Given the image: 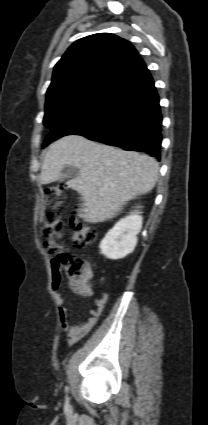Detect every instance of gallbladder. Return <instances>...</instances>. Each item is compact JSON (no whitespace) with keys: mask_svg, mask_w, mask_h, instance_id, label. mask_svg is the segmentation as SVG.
<instances>
[{"mask_svg":"<svg viewBox=\"0 0 208 425\" xmlns=\"http://www.w3.org/2000/svg\"><path fill=\"white\" fill-rule=\"evenodd\" d=\"M79 173V170L76 167L73 166H66L62 170V177L59 179V181H64L67 178H72L77 176Z\"/></svg>","mask_w":208,"mask_h":425,"instance_id":"1","label":"gallbladder"}]
</instances>
